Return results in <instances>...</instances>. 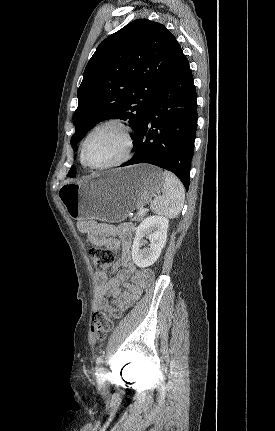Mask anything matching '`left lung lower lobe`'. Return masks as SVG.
<instances>
[{
	"label": "left lung lower lobe",
	"mask_w": 275,
	"mask_h": 431,
	"mask_svg": "<svg viewBox=\"0 0 275 431\" xmlns=\"http://www.w3.org/2000/svg\"><path fill=\"white\" fill-rule=\"evenodd\" d=\"M196 129L197 95L181 49L133 141L136 153L121 167L156 165L177 175L188 190Z\"/></svg>",
	"instance_id": "0a47b994"
}]
</instances>
